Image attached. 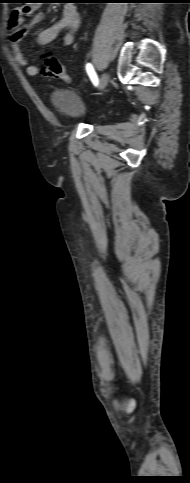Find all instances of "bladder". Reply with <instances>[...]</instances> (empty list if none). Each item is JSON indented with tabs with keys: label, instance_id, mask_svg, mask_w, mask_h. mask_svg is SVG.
<instances>
[{
	"label": "bladder",
	"instance_id": "obj_1",
	"mask_svg": "<svg viewBox=\"0 0 190 483\" xmlns=\"http://www.w3.org/2000/svg\"><path fill=\"white\" fill-rule=\"evenodd\" d=\"M50 102L56 111L68 118H80L86 113L84 101L77 93L68 89L55 91Z\"/></svg>",
	"mask_w": 190,
	"mask_h": 483
}]
</instances>
